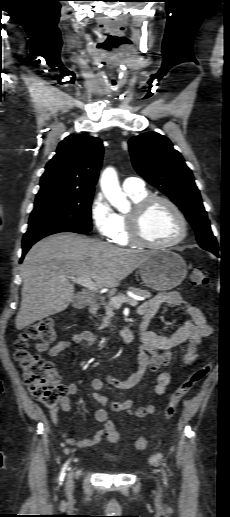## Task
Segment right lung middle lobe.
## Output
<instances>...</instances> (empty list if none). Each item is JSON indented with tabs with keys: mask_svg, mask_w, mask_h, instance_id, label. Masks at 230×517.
<instances>
[{
	"mask_svg": "<svg viewBox=\"0 0 230 517\" xmlns=\"http://www.w3.org/2000/svg\"><path fill=\"white\" fill-rule=\"evenodd\" d=\"M93 192H74L36 197L28 231L69 226L90 231Z\"/></svg>",
	"mask_w": 230,
	"mask_h": 517,
	"instance_id": "dd1d6c3e",
	"label": "right lung middle lobe"
}]
</instances>
